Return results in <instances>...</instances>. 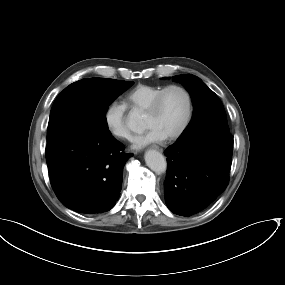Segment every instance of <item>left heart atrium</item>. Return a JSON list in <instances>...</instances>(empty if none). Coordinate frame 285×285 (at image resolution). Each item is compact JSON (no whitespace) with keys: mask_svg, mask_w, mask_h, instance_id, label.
<instances>
[{"mask_svg":"<svg viewBox=\"0 0 285 285\" xmlns=\"http://www.w3.org/2000/svg\"><path fill=\"white\" fill-rule=\"evenodd\" d=\"M163 138H164L163 135L160 134L157 130L153 128H149V130L144 135L136 138V140L134 141L133 147L142 148L151 142H156Z\"/></svg>","mask_w":285,"mask_h":285,"instance_id":"39dd6f15","label":"left heart atrium"}]
</instances>
